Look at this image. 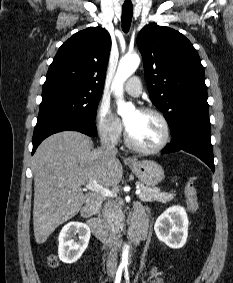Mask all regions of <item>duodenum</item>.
<instances>
[{
	"label": "duodenum",
	"mask_w": 233,
	"mask_h": 283,
	"mask_svg": "<svg viewBox=\"0 0 233 283\" xmlns=\"http://www.w3.org/2000/svg\"><path fill=\"white\" fill-rule=\"evenodd\" d=\"M101 200L98 196H92L89 198L86 205L81 210V216L85 219L87 225L90 227L93 234L104 245H112L114 243L113 236L107 226L102 220L95 216ZM147 223L145 221L138 220L133 224V228L130 232V239L134 246H138L146 236Z\"/></svg>",
	"instance_id": "duodenum-1"
}]
</instances>
